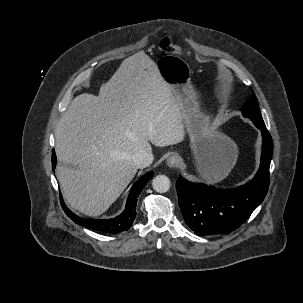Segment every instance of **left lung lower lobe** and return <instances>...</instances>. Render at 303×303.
Masks as SVG:
<instances>
[{
  "instance_id": "obj_1",
  "label": "left lung lower lobe",
  "mask_w": 303,
  "mask_h": 303,
  "mask_svg": "<svg viewBox=\"0 0 303 303\" xmlns=\"http://www.w3.org/2000/svg\"><path fill=\"white\" fill-rule=\"evenodd\" d=\"M254 125L263 137L260 168L255 177L236 189H216L193 184L182 177L176 182L178 203L186 224L198 235L231 232L240 227L264 200L269 187L273 141L265 126Z\"/></svg>"
}]
</instances>
